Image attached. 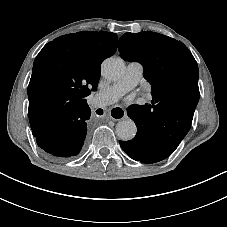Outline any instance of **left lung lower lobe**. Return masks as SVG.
Instances as JSON below:
<instances>
[{
    "label": "left lung lower lobe",
    "instance_id": "left-lung-lower-lobe-1",
    "mask_svg": "<svg viewBox=\"0 0 227 227\" xmlns=\"http://www.w3.org/2000/svg\"><path fill=\"white\" fill-rule=\"evenodd\" d=\"M196 104L185 101H152L151 105H131L128 116L137 126L136 136L119 141L134 160L155 163L169 157L188 133Z\"/></svg>",
    "mask_w": 227,
    "mask_h": 227
}]
</instances>
